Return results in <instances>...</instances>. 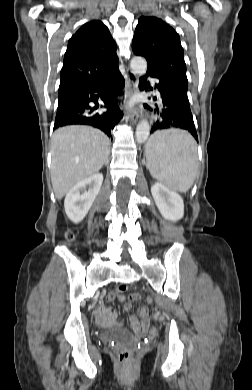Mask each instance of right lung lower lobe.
Instances as JSON below:
<instances>
[{
  "instance_id": "right-lung-lower-lobe-1",
  "label": "right lung lower lobe",
  "mask_w": 252,
  "mask_h": 390,
  "mask_svg": "<svg viewBox=\"0 0 252 390\" xmlns=\"http://www.w3.org/2000/svg\"><path fill=\"white\" fill-rule=\"evenodd\" d=\"M123 87L124 78L116 68L100 83L83 87L60 99L54 129L71 124L91 125L112 137L111 132L123 115L117 99V96L121 94L119 88ZM99 97L107 108L105 112H97L89 105L91 101L96 102Z\"/></svg>"
}]
</instances>
